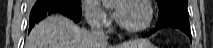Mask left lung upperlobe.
Wrapping results in <instances>:
<instances>
[{"mask_svg": "<svg viewBox=\"0 0 213 48\" xmlns=\"http://www.w3.org/2000/svg\"><path fill=\"white\" fill-rule=\"evenodd\" d=\"M159 6V18L168 14H179L189 16L187 10V0H157Z\"/></svg>", "mask_w": 213, "mask_h": 48, "instance_id": "left-lung-upper-lobe-1", "label": "left lung upper lobe"}]
</instances>
